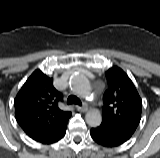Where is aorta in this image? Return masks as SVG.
<instances>
[{"mask_svg":"<svg viewBox=\"0 0 160 158\" xmlns=\"http://www.w3.org/2000/svg\"><path fill=\"white\" fill-rule=\"evenodd\" d=\"M71 88L79 95L87 97L90 94V83L83 75H73L70 78ZM86 123L91 127H97L102 122V115L98 110H91L85 116Z\"/></svg>","mask_w":160,"mask_h":158,"instance_id":"762f6f07","label":"aorta"}]
</instances>
